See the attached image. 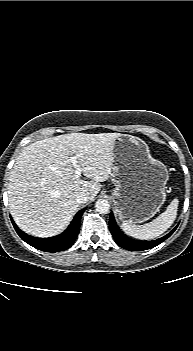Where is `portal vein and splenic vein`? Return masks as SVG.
<instances>
[{"label": "portal vein and splenic vein", "instance_id": "portal-vein-and-splenic-vein-1", "mask_svg": "<svg viewBox=\"0 0 193 351\" xmlns=\"http://www.w3.org/2000/svg\"><path fill=\"white\" fill-rule=\"evenodd\" d=\"M70 161L72 163V165L74 166L75 170V176L76 177H80L81 176V172H82V168L78 165V161L76 159L75 156L70 157Z\"/></svg>", "mask_w": 193, "mask_h": 351}]
</instances>
